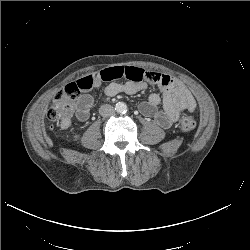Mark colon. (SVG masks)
<instances>
[{
	"mask_svg": "<svg viewBox=\"0 0 250 250\" xmlns=\"http://www.w3.org/2000/svg\"><path fill=\"white\" fill-rule=\"evenodd\" d=\"M80 88L77 83H70L63 87L55 96L54 101L47 112L50 120L66 121L73 115L76 100L80 95ZM178 129L183 133H190L196 127L195 119L187 113H183L178 121Z\"/></svg>",
	"mask_w": 250,
	"mask_h": 250,
	"instance_id": "5ec220e1",
	"label": "colon"
}]
</instances>
